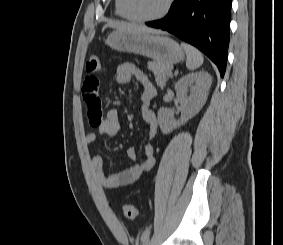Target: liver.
<instances>
[{"instance_id": "6515ba94", "label": "liver", "mask_w": 283, "mask_h": 245, "mask_svg": "<svg viewBox=\"0 0 283 245\" xmlns=\"http://www.w3.org/2000/svg\"><path fill=\"white\" fill-rule=\"evenodd\" d=\"M108 27L114 28L118 31L156 33L153 29L126 22H109L103 27V30Z\"/></svg>"}]
</instances>
